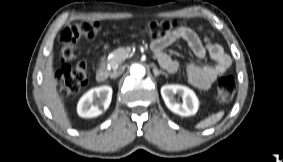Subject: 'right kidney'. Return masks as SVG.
I'll list each match as a JSON object with an SVG mask.
<instances>
[{"label":"right kidney","mask_w":283,"mask_h":162,"mask_svg":"<svg viewBox=\"0 0 283 162\" xmlns=\"http://www.w3.org/2000/svg\"><path fill=\"white\" fill-rule=\"evenodd\" d=\"M112 93L113 90L110 86H100L90 89L78 102V115L83 118L99 116L104 110L108 109L111 103Z\"/></svg>","instance_id":"right-kidney-1"}]
</instances>
